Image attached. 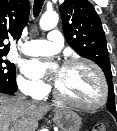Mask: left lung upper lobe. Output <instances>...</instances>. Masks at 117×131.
<instances>
[{"mask_svg":"<svg viewBox=\"0 0 117 131\" xmlns=\"http://www.w3.org/2000/svg\"><path fill=\"white\" fill-rule=\"evenodd\" d=\"M59 11L67 43L79 55L94 61L104 71L109 88L107 109L117 120L106 37L98 14L87 0H65Z\"/></svg>","mask_w":117,"mask_h":131,"instance_id":"1","label":"left lung upper lobe"}]
</instances>
